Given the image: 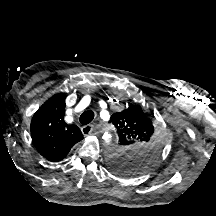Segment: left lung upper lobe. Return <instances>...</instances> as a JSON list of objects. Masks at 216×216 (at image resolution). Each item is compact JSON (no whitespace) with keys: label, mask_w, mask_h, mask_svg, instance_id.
Instances as JSON below:
<instances>
[{"label":"left lung upper lobe","mask_w":216,"mask_h":216,"mask_svg":"<svg viewBox=\"0 0 216 216\" xmlns=\"http://www.w3.org/2000/svg\"><path fill=\"white\" fill-rule=\"evenodd\" d=\"M110 122L118 134V146L108 158L113 172L124 177L136 176L159 158L163 148L162 133L142 107L130 105L114 113Z\"/></svg>","instance_id":"obj_1"}]
</instances>
